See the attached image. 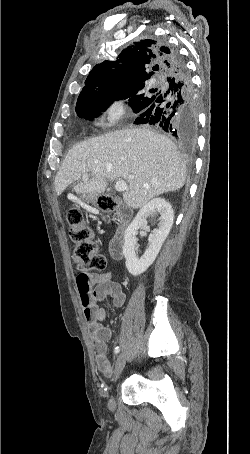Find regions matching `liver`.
<instances>
[{
	"instance_id": "obj_1",
	"label": "liver",
	"mask_w": 250,
	"mask_h": 454,
	"mask_svg": "<svg viewBox=\"0 0 250 454\" xmlns=\"http://www.w3.org/2000/svg\"><path fill=\"white\" fill-rule=\"evenodd\" d=\"M87 172L91 179L79 182ZM117 179L128 184L122 195L126 205L138 209L156 196L182 188L186 166L166 136L144 128L123 129L74 145L54 184L57 195L69 186L79 194H100L107 180Z\"/></svg>"
}]
</instances>
